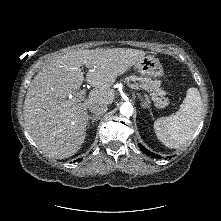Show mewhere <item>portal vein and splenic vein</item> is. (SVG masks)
Wrapping results in <instances>:
<instances>
[{"label": "portal vein and splenic vein", "mask_w": 221, "mask_h": 221, "mask_svg": "<svg viewBox=\"0 0 221 221\" xmlns=\"http://www.w3.org/2000/svg\"><path fill=\"white\" fill-rule=\"evenodd\" d=\"M127 86L131 89L140 90L139 87H137L133 84H127ZM142 93L146 97V99L149 100L150 97L145 92L142 91ZM85 95H86L85 89L80 90L75 97V102L83 101L85 99Z\"/></svg>", "instance_id": "18ae733b"}]
</instances>
